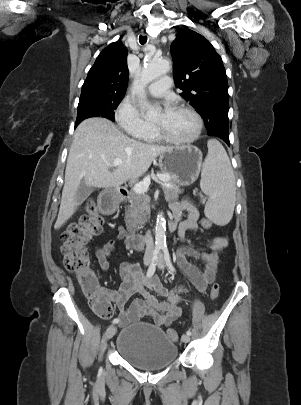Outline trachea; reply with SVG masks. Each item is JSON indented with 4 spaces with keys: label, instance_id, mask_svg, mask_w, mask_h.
Segmentation results:
<instances>
[{
    "label": "trachea",
    "instance_id": "1",
    "mask_svg": "<svg viewBox=\"0 0 301 405\" xmlns=\"http://www.w3.org/2000/svg\"><path fill=\"white\" fill-rule=\"evenodd\" d=\"M139 42L140 44L144 45L147 42V36H139Z\"/></svg>",
    "mask_w": 301,
    "mask_h": 405
}]
</instances>
